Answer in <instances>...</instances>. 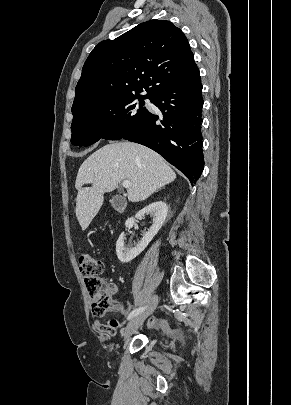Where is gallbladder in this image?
<instances>
[{
	"label": "gallbladder",
	"mask_w": 291,
	"mask_h": 405,
	"mask_svg": "<svg viewBox=\"0 0 291 405\" xmlns=\"http://www.w3.org/2000/svg\"><path fill=\"white\" fill-rule=\"evenodd\" d=\"M111 205L117 211H123L126 207V199L121 195H115L110 200Z\"/></svg>",
	"instance_id": "obj_1"
}]
</instances>
